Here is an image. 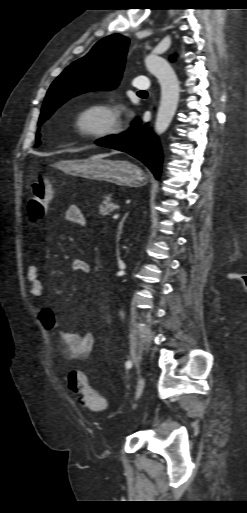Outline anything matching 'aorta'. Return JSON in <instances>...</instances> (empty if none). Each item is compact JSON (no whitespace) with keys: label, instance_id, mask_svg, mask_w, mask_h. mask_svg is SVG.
<instances>
[{"label":"aorta","instance_id":"aorta-1","mask_svg":"<svg viewBox=\"0 0 247 513\" xmlns=\"http://www.w3.org/2000/svg\"><path fill=\"white\" fill-rule=\"evenodd\" d=\"M146 68L158 80L161 87V99L156 115L155 133L163 134L169 127L179 101V81L170 64L155 54L145 58Z\"/></svg>","mask_w":247,"mask_h":513}]
</instances>
